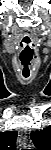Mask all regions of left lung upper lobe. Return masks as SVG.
<instances>
[{
	"label": "left lung upper lobe",
	"mask_w": 51,
	"mask_h": 150,
	"mask_svg": "<svg viewBox=\"0 0 51 150\" xmlns=\"http://www.w3.org/2000/svg\"><path fill=\"white\" fill-rule=\"evenodd\" d=\"M31 139L38 150H46L51 146V127L31 133Z\"/></svg>",
	"instance_id": "1"
}]
</instances>
